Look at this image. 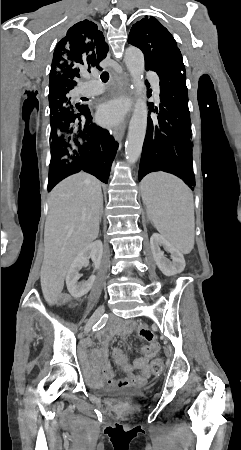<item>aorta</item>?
<instances>
[{"mask_svg":"<svg viewBox=\"0 0 241 450\" xmlns=\"http://www.w3.org/2000/svg\"><path fill=\"white\" fill-rule=\"evenodd\" d=\"M124 58L137 96L125 144L126 160L129 164H134L141 155L147 129L148 109L144 82V56L138 48L131 46L126 49Z\"/></svg>","mask_w":241,"mask_h":450,"instance_id":"1","label":"aorta"}]
</instances>
